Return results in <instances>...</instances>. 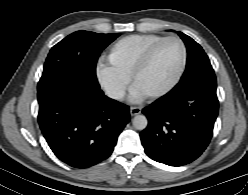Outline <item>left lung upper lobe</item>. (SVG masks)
<instances>
[{
	"mask_svg": "<svg viewBox=\"0 0 248 195\" xmlns=\"http://www.w3.org/2000/svg\"><path fill=\"white\" fill-rule=\"evenodd\" d=\"M178 35L186 44L188 58L186 70L177 86L184 90L204 84H216L214 70L202 47L184 33L178 32Z\"/></svg>",
	"mask_w": 248,
	"mask_h": 195,
	"instance_id": "obj_1",
	"label": "left lung upper lobe"
}]
</instances>
